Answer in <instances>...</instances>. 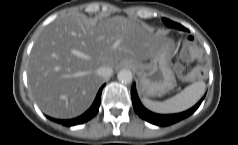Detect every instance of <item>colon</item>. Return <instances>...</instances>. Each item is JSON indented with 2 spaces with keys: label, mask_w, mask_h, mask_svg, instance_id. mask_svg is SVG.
<instances>
[{
  "label": "colon",
  "mask_w": 238,
  "mask_h": 145,
  "mask_svg": "<svg viewBox=\"0 0 238 145\" xmlns=\"http://www.w3.org/2000/svg\"><path fill=\"white\" fill-rule=\"evenodd\" d=\"M180 58L184 61H201L203 59V50L200 44L194 39L187 40L182 46ZM176 68L181 71L180 65H177ZM206 75L207 72L204 68L196 67L185 78L188 81H198L204 79Z\"/></svg>",
  "instance_id": "colon-1"
}]
</instances>
